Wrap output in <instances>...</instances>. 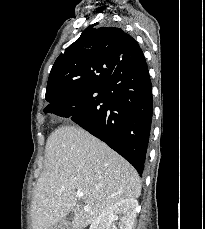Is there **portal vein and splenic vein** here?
Masks as SVG:
<instances>
[{
	"label": "portal vein and splenic vein",
	"mask_w": 205,
	"mask_h": 229,
	"mask_svg": "<svg viewBox=\"0 0 205 229\" xmlns=\"http://www.w3.org/2000/svg\"><path fill=\"white\" fill-rule=\"evenodd\" d=\"M76 196H77L79 199H81V198H83L84 193L81 192V191H78V192L76 193Z\"/></svg>",
	"instance_id": "1"
}]
</instances>
